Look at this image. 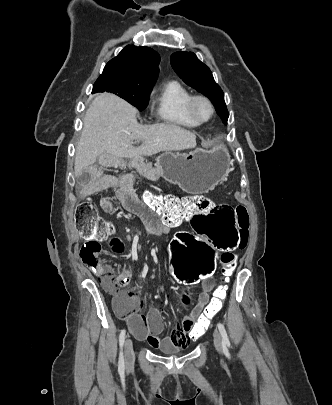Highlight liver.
Here are the masks:
<instances>
[{"mask_svg":"<svg viewBox=\"0 0 332 405\" xmlns=\"http://www.w3.org/2000/svg\"><path fill=\"white\" fill-rule=\"evenodd\" d=\"M136 109L111 93H100L86 111L76 148L75 175L94 164L99 157L104 166H117L121 158L152 156L162 151L195 148L196 136L177 125L160 123L141 126ZM134 140H141L135 148Z\"/></svg>","mask_w":332,"mask_h":405,"instance_id":"liver-1","label":"liver"}]
</instances>
